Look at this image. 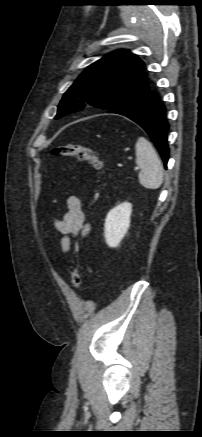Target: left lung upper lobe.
Wrapping results in <instances>:
<instances>
[{
    "label": "left lung upper lobe",
    "mask_w": 202,
    "mask_h": 437,
    "mask_svg": "<svg viewBox=\"0 0 202 437\" xmlns=\"http://www.w3.org/2000/svg\"><path fill=\"white\" fill-rule=\"evenodd\" d=\"M144 63L135 55L118 51L88 66L65 92L55 119L82 110L84 101L110 110L149 89Z\"/></svg>",
    "instance_id": "obj_1"
}]
</instances>
